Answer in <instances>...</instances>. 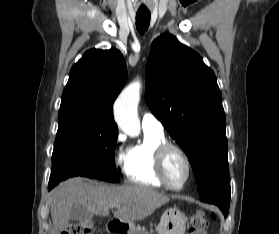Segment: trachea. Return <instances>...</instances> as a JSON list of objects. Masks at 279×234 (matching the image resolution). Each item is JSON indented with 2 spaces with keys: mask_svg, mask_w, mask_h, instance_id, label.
Listing matches in <instances>:
<instances>
[{
  "mask_svg": "<svg viewBox=\"0 0 279 234\" xmlns=\"http://www.w3.org/2000/svg\"><path fill=\"white\" fill-rule=\"evenodd\" d=\"M150 23V12H137L136 13V28L140 34L147 31Z\"/></svg>",
  "mask_w": 279,
  "mask_h": 234,
  "instance_id": "1",
  "label": "trachea"
}]
</instances>
